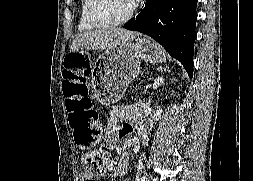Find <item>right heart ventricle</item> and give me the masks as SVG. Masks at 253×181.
<instances>
[{
    "label": "right heart ventricle",
    "mask_w": 253,
    "mask_h": 181,
    "mask_svg": "<svg viewBox=\"0 0 253 181\" xmlns=\"http://www.w3.org/2000/svg\"><path fill=\"white\" fill-rule=\"evenodd\" d=\"M90 0H82L80 15H79V24L78 29L81 32H88L97 29L98 27L91 24L87 18V8Z\"/></svg>",
    "instance_id": "1"
}]
</instances>
